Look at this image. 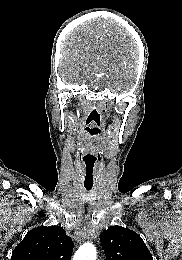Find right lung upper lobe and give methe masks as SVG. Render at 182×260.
Wrapping results in <instances>:
<instances>
[{
    "instance_id": "right-lung-upper-lobe-1",
    "label": "right lung upper lobe",
    "mask_w": 182,
    "mask_h": 260,
    "mask_svg": "<svg viewBox=\"0 0 182 260\" xmlns=\"http://www.w3.org/2000/svg\"><path fill=\"white\" fill-rule=\"evenodd\" d=\"M72 239L60 226L30 230L13 250L11 260H70Z\"/></svg>"
}]
</instances>
